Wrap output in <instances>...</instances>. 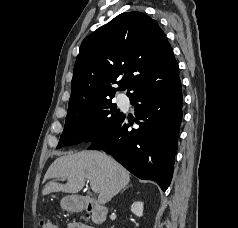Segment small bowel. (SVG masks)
<instances>
[{
    "label": "small bowel",
    "instance_id": "c3829d8e",
    "mask_svg": "<svg viewBox=\"0 0 238 228\" xmlns=\"http://www.w3.org/2000/svg\"><path fill=\"white\" fill-rule=\"evenodd\" d=\"M66 228H92V227L82 222H70Z\"/></svg>",
    "mask_w": 238,
    "mask_h": 228
}]
</instances>
